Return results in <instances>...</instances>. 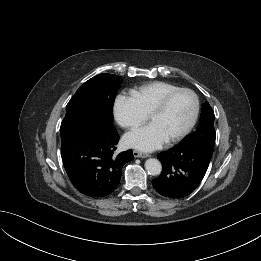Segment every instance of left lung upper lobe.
<instances>
[{"label":"left lung upper lobe","instance_id":"left-lung-upper-lobe-1","mask_svg":"<svg viewBox=\"0 0 261 261\" xmlns=\"http://www.w3.org/2000/svg\"><path fill=\"white\" fill-rule=\"evenodd\" d=\"M215 134L214 112L211 106L205 102L202 106L200 122L196 131L185 137L179 144L201 148L212 156Z\"/></svg>","mask_w":261,"mask_h":261}]
</instances>
